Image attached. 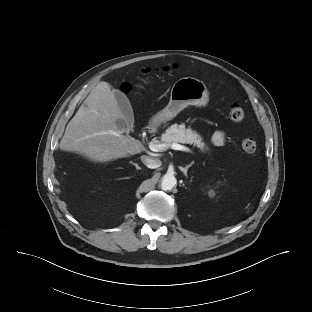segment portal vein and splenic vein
Here are the masks:
<instances>
[{
    "label": "portal vein and splenic vein",
    "mask_w": 312,
    "mask_h": 312,
    "mask_svg": "<svg viewBox=\"0 0 312 312\" xmlns=\"http://www.w3.org/2000/svg\"><path fill=\"white\" fill-rule=\"evenodd\" d=\"M148 146H149L150 150H152L154 152H162V151H164V150H166L168 148V146L166 144L157 143L156 141H150L148 143ZM170 146L174 150L191 152V150L188 147L184 146V145H180V144L174 143V144H171Z\"/></svg>",
    "instance_id": "obj_1"
}]
</instances>
